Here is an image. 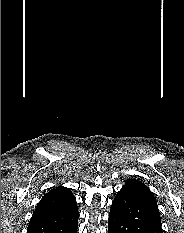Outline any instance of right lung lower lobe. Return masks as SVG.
Returning <instances> with one entry per match:
<instances>
[{
	"label": "right lung lower lobe",
	"instance_id": "right-lung-lower-lobe-1",
	"mask_svg": "<svg viewBox=\"0 0 184 233\" xmlns=\"http://www.w3.org/2000/svg\"><path fill=\"white\" fill-rule=\"evenodd\" d=\"M77 206L32 217L27 233H77Z\"/></svg>",
	"mask_w": 184,
	"mask_h": 233
}]
</instances>
